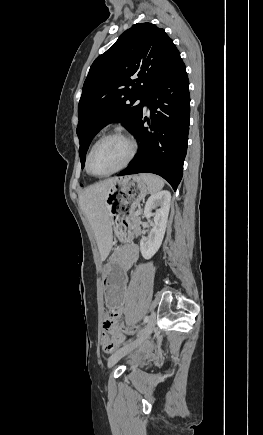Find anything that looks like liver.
<instances>
[{
	"instance_id": "liver-1",
	"label": "liver",
	"mask_w": 263,
	"mask_h": 435,
	"mask_svg": "<svg viewBox=\"0 0 263 435\" xmlns=\"http://www.w3.org/2000/svg\"><path fill=\"white\" fill-rule=\"evenodd\" d=\"M119 178L100 181L86 188L79 197L80 207L94 231L101 260L105 261L112 248V223L108 216L105 195Z\"/></svg>"
}]
</instances>
